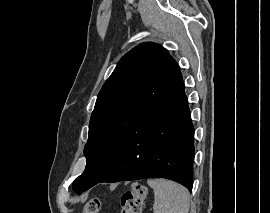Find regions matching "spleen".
I'll return each mask as SVG.
<instances>
[{"instance_id": "obj_1", "label": "spleen", "mask_w": 270, "mask_h": 213, "mask_svg": "<svg viewBox=\"0 0 270 213\" xmlns=\"http://www.w3.org/2000/svg\"><path fill=\"white\" fill-rule=\"evenodd\" d=\"M154 190V213H188L189 194L185 187L165 179H149Z\"/></svg>"}]
</instances>
